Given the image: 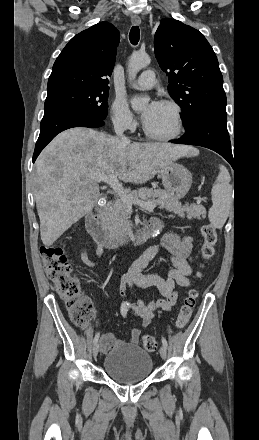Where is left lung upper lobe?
Wrapping results in <instances>:
<instances>
[{"mask_svg": "<svg viewBox=\"0 0 259 440\" xmlns=\"http://www.w3.org/2000/svg\"><path fill=\"white\" fill-rule=\"evenodd\" d=\"M154 46L160 68L169 76V94L183 111L185 128L204 113L227 115L217 57L198 30L178 20H161Z\"/></svg>", "mask_w": 259, "mask_h": 440, "instance_id": "left-lung-upper-lobe-1", "label": "left lung upper lobe"}]
</instances>
